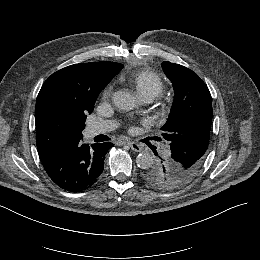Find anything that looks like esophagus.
I'll return each mask as SVG.
<instances>
[{"mask_svg": "<svg viewBox=\"0 0 260 260\" xmlns=\"http://www.w3.org/2000/svg\"><path fill=\"white\" fill-rule=\"evenodd\" d=\"M128 145L135 152H141L142 151V147L136 142H129Z\"/></svg>", "mask_w": 260, "mask_h": 260, "instance_id": "obj_1", "label": "esophagus"}]
</instances>
